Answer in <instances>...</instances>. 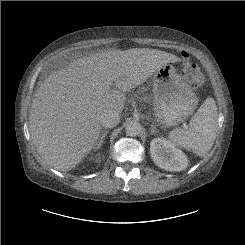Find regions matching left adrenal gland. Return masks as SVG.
<instances>
[{
  "label": "left adrenal gland",
  "instance_id": "1",
  "mask_svg": "<svg viewBox=\"0 0 245 245\" xmlns=\"http://www.w3.org/2000/svg\"><path fill=\"white\" fill-rule=\"evenodd\" d=\"M157 133V130H155V126L153 124L150 125V134L153 135V134H156Z\"/></svg>",
  "mask_w": 245,
  "mask_h": 245
}]
</instances>
